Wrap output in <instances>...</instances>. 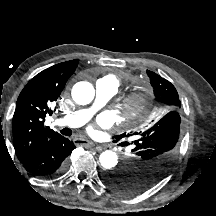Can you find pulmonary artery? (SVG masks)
I'll list each match as a JSON object with an SVG mask.
<instances>
[{"label": "pulmonary artery", "mask_w": 216, "mask_h": 216, "mask_svg": "<svg viewBox=\"0 0 216 216\" xmlns=\"http://www.w3.org/2000/svg\"><path fill=\"white\" fill-rule=\"evenodd\" d=\"M96 97L93 105L87 109L75 111L57 120V123L67 127H80L117 92V82L113 77L106 76L96 82Z\"/></svg>", "instance_id": "1"}]
</instances>
